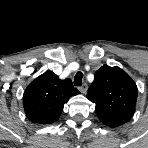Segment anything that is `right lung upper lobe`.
<instances>
[{
  "instance_id": "right-lung-upper-lobe-1",
  "label": "right lung upper lobe",
  "mask_w": 148,
  "mask_h": 148,
  "mask_svg": "<svg viewBox=\"0 0 148 148\" xmlns=\"http://www.w3.org/2000/svg\"><path fill=\"white\" fill-rule=\"evenodd\" d=\"M79 93L70 79L60 80L48 70L27 86L23 96L25 113L33 123H53L69 98Z\"/></svg>"
}]
</instances>
